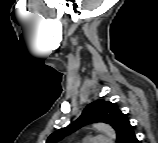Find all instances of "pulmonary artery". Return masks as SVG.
Masks as SVG:
<instances>
[{"mask_svg": "<svg viewBox=\"0 0 158 143\" xmlns=\"http://www.w3.org/2000/svg\"><path fill=\"white\" fill-rule=\"evenodd\" d=\"M88 140H94V139H92V138H89ZM100 140V139H99Z\"/></svg>", "mask_w": 158, "mask_h": 143, "instance_id": "e3ab8cb5", "label": "pulmonary artery"}]
</instances>
